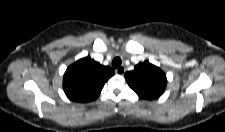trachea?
Listing matches in <instances>:
<instances>
[{"label": "trachea", "instance_id": "trachea-1", "mask_svg": "<svg viewBox=\"0 0 225 132\" xmlns=\"http://www.w3.org/2000/svg\"><path fill=\"white\" fill-rule=\"evenodd\" d=\"M121 63H122L121 59L119 57H116L112 61V66L113 68H118L120 67Z\"/></svg>", "mask_w": 225, "mask_h": 132}]
</instances>
